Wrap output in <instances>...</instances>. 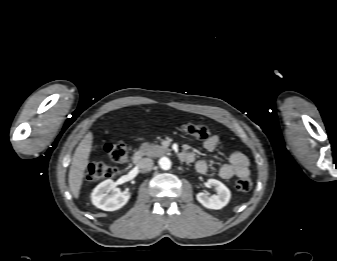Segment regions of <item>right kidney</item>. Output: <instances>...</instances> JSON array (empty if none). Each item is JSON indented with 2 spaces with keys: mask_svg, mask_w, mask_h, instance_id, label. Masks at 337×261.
Here are the masks:
<instances>
[{
  "mask_svg": "<svg viewBox=\"0 0 337 261\" xmlns=\"http://www.w3.org/2000/svg\"><path fill=\"white\" fill-rule=\"evenodd\" d=\"M129 192H121L113 180L101 182L91 194L92 203L104 211H114L123 207L129 200Z\"/></svg>",
  "mask_w": 337,
  "mask_h": 261,
  "instance_id": "1",
  "label": "right kidney"
}]
</instances>
